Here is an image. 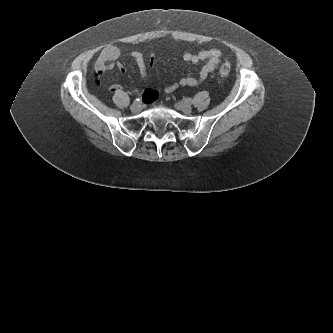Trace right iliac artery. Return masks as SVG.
I'll use <instances>...</instances> for the list:
<instances>
[{
	"label": "right iliac artery",
	"mask_w": 333,
	"mask_h": 333,
	"mask_svg": "<svg viewBox=\"0 0 333 333\" xmlns=\"http://www.w3.org/2000/svg\"><path fill=\"white\" fill-rule=\"evenodd\" d=\"M134 102H138V103H140V99L139 98H137V99H135V101Z\"/></svg>",
	"instance_id": "1"
}]
</instances>
